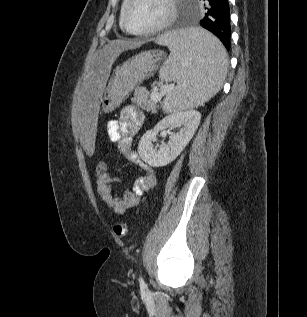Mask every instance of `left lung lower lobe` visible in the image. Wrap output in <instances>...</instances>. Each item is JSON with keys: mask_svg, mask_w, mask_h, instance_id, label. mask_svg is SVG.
<instances>
[{"mask_svg": "<svg viewBox=\"0 0 307 317\" xmlns=\"http://www.w3.org/2000/svg\"><path fill=\"white\" fill-rule=\"evenodd\" d=\"M205 16L200 25L215 34L230 49V9L228 0H204Z\"/></svg>", "mask_w": 307, "mask_h": 317, "instance_id": "obj_1", "label": "left lung lower lobe"}]
</instances>
